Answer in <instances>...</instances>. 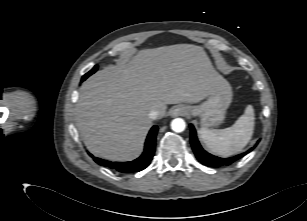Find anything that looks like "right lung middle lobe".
<instances>
[{"label":"right lung middle lobe","instance_id":"right-lung-middle-lobe-1","mask_svg":"<svg viewBox=\"0 0 307 221\" xmlns=\"http://www.w3.org/2000/svg\"><path fill=\"white\" fill-rule=\"evenodd\" d=\"M98 66L96 65L91 71H89L87 74L84 75L85 79L90 76L91 74H93L94 72H96Z\"/></svg>","mask_w":307,"mask_h":221}]
</instances>
